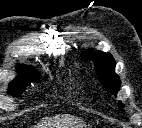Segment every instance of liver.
<instances>
[{
    "mask_svg": "<svg viewBox=\"0 0 142 128\" xmlns=\"http://www.w3.org/2000/svg\"><path fill=\"white\" fill-rule=\"evenodd\" d=\"M81 119L72 115H62L52 120H44L34 128H78Z\"/></svg>",
    "mask_w": 142,
    "mask_h": 128,
    "instance_id": "liver-1",
    "label": "liver"
}]
</instances>
